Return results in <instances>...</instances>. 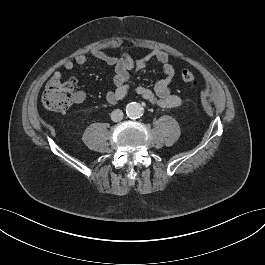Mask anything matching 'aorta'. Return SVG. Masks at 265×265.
Returning <instances> with one entry per match:
<instances>
[{
    "label": "aorta",
    "mask_w": 265,
    "mask_h": 265,
    "mask_svg": "<svg viewBox=\"0 0 265 265\" xmlns=\"http://www.w3.org/2000/svg\"><path fill=\"white\" fill-rule=\"evenodd\" d=\"M143 108L137 102L128 103L126 106V114L130 118H139L142 116Z\"/></svg>",
    "instance_id": "obj_1"
}]
</instances>
